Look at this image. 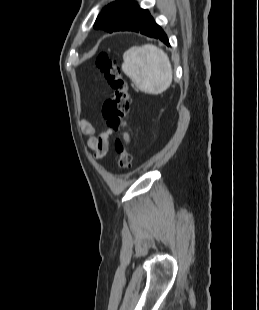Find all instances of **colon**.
<instances>
[{
	"label": "colon",
	"instance_id": "1",
	"mask_svg": "<svg viewBox=\"0 0 259 310\" xmlns=\"http://www.w3.org/2000/svg\"><path fill=\"white\" fill-rule=\"evenodd\" d=\"M96 65L111 91V97L102 105V116L111 131L121 132L128 126L127 117L131 107L128 84L120 65L111 55L107 53L99 54ZM115 148L119 154L120 170L128 171L132 166L133 157L129 141L124 137V133L117 136Z\"/></svg>",
	"mask_w": 259,
	"mask_h": 310
}]
</instances>
